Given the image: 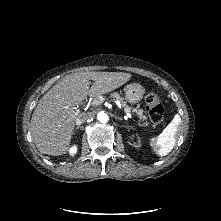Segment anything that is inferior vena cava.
Listing matches in <instances>:
<instances>
[{"label":"inferior vena cava","instance_id":"obj_1","mask_svg":"<svg viewBox=\"0 0 221 221\" xmlns=\"http://www.w3.org/2000/svg\"><path fill=\"white\" fill-rule=\"evenodd\" d=\"M92 118H93V114L91 112H83L77 118L76 123H77V125H80V124H82Z\"/></svg>","mask_w":221,"mask_h":221}]
</instances>
